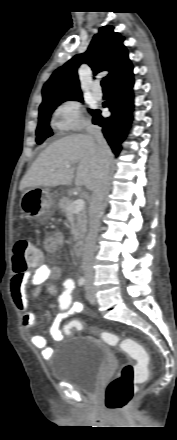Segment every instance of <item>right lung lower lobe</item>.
<instances>
[{
    "label": "right lung lower lobe",
    "instance_id": "obj_1",
    "mask_svg": "<svg viewBox=\"0 0 177 440\" xmlns=\"http://www.w3.org/2000/svg\"><path fill=\"white\" fill-rule=\"evenodd\" d=\"M111 97L103 103L108 107L111 116L103 118L100 110H92L93 124L102 127V132L112 151L118 155L122 149L121 143L128 135L133 111V66H129L108 83Z\"/></svg>",
    "mask_w": 177,
    "mask_h": 440
}]
</instances>
